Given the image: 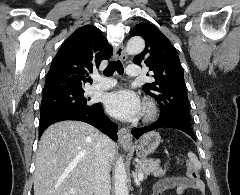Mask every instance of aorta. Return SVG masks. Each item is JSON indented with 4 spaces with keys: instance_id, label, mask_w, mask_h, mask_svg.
I'll return each mask as SVG.
<instances>
[{
    "instance_id": "obj_1",
    "label": "aorta",
    "mask_w": 240,
    "mask_h": 195,
    "mask_svg": "<svg viewBox=\"0 0 240 195\" xmlns=\"http://www.w3.org/2000/svg\"><path fill=\"white\" fill-rule=\"evenodd\" d=\"M145 48V42L143 38H131L129 40L125 52L127 56H137L141 54ZM114 185L116 195H129L128 185H127V173L124 165L123 157H118L114 169Z\"/></svg>"
}]
</instances>
